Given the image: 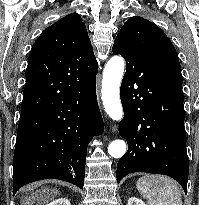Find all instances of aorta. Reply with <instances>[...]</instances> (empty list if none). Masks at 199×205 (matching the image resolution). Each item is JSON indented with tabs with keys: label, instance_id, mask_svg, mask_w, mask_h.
<instances>
[{
	"label": "aorta",
	"instance_id": "762f6f07",
	"mask_svg": "<svg viewBox=\"0 0 199 205\" xmlns=\"http://www.w3.org/2000/svg\"><path fill=\"white\" fill-rule=\"evenodd\" d=\"M125 63L122 57L113 56L107 62L102 80V100L107 114L116 121L123 117V109L119 97L120 83L124 73ZM126 143L123 140H115L108 147V154L114 158H120L126 153Z\"/></svg>",
	"mask_w": 199,
	"mask_h": 205
}]
</instances>
